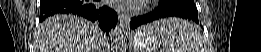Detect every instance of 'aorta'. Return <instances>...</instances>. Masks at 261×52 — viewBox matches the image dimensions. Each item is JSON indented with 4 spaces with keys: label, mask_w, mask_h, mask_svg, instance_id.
I'll use <instances>...</instances> for the list:
<instances>
[{
    "label": "aorta",
    "mask_w": 261,
    "mask_h": 52,
    "mask_svg": "<svg viewBox=\"0 0 261 52\" xmlns=\"http://www.w3.org/2000/svg\"><path fill=\"white\" fill-rule=\"evenodd\" d=\"M112 41L115 51H122L124 47V29L120 26L116 27L112 34Z\"/></svg>",
    "instance_id": "obj_1"
}]
</instances>
